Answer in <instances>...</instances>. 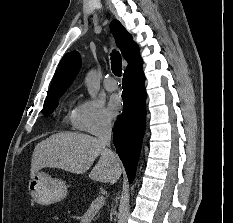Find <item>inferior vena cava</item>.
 Wrapping results in <instances>:
<instances>
[{
    "label": "inferior vena cava",
    "mask_w": 233,
    "mask_h": 223,
    "mask_svg": "<svg viewBox=\"0 0 233 223\" xmlns=\"http://www.w3.org/2000/svg\"><path fill=\"white\" fill-rule=\"evenodd\" d=\"M111 131H112V123L111 119L109 117H105V115H102L99 119L98 123V131H97V137L99 143H102V145H110L111 141ZM110 155L114 157L113 151H109Z\"/></svg>",
    "instance_id": "602c4592"
}]
</instances>
